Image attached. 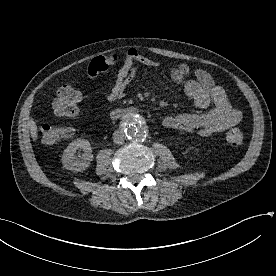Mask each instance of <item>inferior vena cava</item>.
Listing matches in <instances>:
<instances>
[{
    "mask_svg": "<svg viewBox=\"0 0 276 276\" xmlns=\"http://www.w3.org/2000/svg\"><path fill=\"white\" fill-rule=\"evenodd\" d=\"M124 139H125V137H124V134L122 133V131L117 130L113 133L114 143L122 144L124 142Z\"/></svg>",
    "mask_w": 276,
    "mask_h": 276,
    "instance_id": "1",
    "label": "inferior vena cava"
}]
</instances>
